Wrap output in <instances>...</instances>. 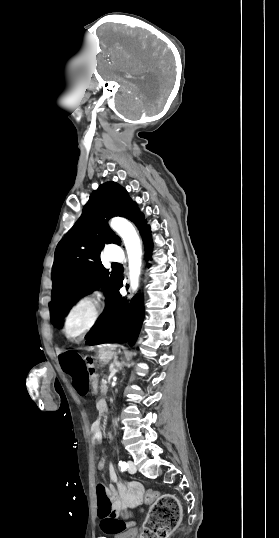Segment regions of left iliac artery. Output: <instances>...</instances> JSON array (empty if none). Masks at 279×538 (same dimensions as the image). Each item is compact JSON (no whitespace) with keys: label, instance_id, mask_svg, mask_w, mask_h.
I'll return each mask as SVG.
<instances>
[{"label":"left iliac artery","instance_id":"44dca946","mask_svg":"<svg viewBox=\"0 0 279 538\" xmlns=\"http://www.w3.org/2000/svg\"><path fill=\"white\" fill-rule=\"evenodd\" d=\"M119 466L121 468V471H126V469L128 468V464L125 461H120Z\"/></svg>","mask_w":279,"mask_h":538}]
</instances>
